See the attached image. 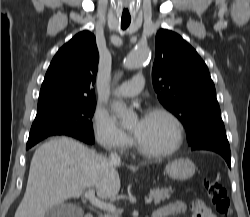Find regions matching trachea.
<instances>
[{
    "label": "trachea",
    "mask_w": 250,
    "mask_h": 217,
    "mask_svg": "<svg viewBox=\"0 0 250 217\" xmlns=\"http://www.w3.org/2000/svg\"><path fill=\"white\" fill-rule=\"evenodd\" d=\"M131 19H122L121 28L125 30L130 25Z\"/></svg>",
    "instance_id": "3493384b"
}]
</instances>
